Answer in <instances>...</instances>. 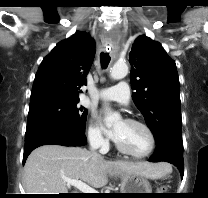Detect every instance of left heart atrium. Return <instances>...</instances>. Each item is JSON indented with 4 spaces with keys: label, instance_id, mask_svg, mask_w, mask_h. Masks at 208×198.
I'll use <instances>...</instances> for the list:
<instances>
[{
    "label": "left heart atrium",
    "instance_id": "left-heart-atrium-1",
    "mask_svg": "<svg viewBox=\"0 0 208 198\" xmlns=\"http://www.w3.org/2000/svg\"><path fill=\"white\" fill-rule=\"evenodd\" d=\"M100 121H102V118H100ZM107 133L111 138L116 140L117 135H118V129L114 127L113 129L107 130Z\"/></svg>",
    "mask_w": 208,
    "mask_h": 198
}]
</instances>
